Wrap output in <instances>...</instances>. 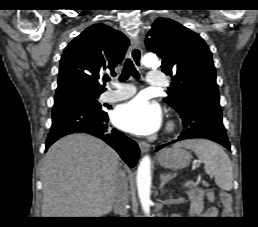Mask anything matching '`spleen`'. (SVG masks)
Returning <instances> with one entry per match:
<instances>
[{"label": "spleen", "instance_id": "obj_1", "mask_svg": "<svg viewBox=\"0 0 258 227\" xmlns=\"http://www.w3.org/2000/svg\"><path fill=\"white\" fill-rule=\"evenodd\" d=\"M174 148L184 147L195 152L204 163L207 174L215 178L216 185L225 191L233 187V167L228 155L216 143L206 139H188L177 142Z\"/></svg>", "mask_w": 258, "mask_h": 227}]
</instances>
